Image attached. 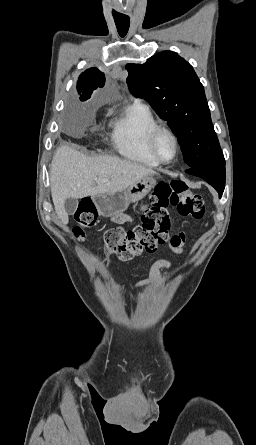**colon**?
<instances>
[{
	"label": "colon",
	"instance_id": "obj_1",
	"mask_svg": "<svg viewBox=\"0 0 256 445\" xmlns=\"http://www.w3.org/2000/svg\"><path fill=\"white\" fill-rule=\"evenodd\" d=\"M173 206L182 216L201 219L205 213L204 198L190 192L179 180L160 182L150 195L149 206L143 211L140 223L130 229L112 228L104 235L105 249L121 261H128L143 252H154L169 241L171 220L168 208ZM76 226L73 234L84 241L85 229L97 223L93 203L84 200L75 212Z\"/></svg>",
	"mask_w": 256,
	"mask_h": 445
}]
</instances>
